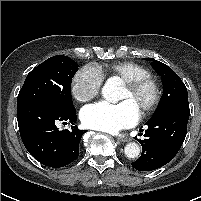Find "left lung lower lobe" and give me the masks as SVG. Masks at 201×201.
Segmentation results:
<instances>
[{
  "label": "left lung lower lobe",
  "mask_w": 201,
  "mask_h": 201,
  "mask_svg": "<svg viewBox=\"0 0 201 201\" xmlns=\"http://www.w3.org/2000/svg\"><path fill=\"white\" fill-rule=\"evenodd\" d=\"M189 115V107L177 106L151 117L146 139L140 140L142 154L131 165L138 171H152L170 162L186 137Z\"/></svg>",
  "instance_id": "0a47b994"
}]
</instances>
